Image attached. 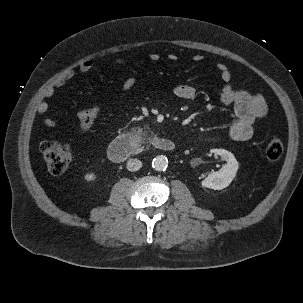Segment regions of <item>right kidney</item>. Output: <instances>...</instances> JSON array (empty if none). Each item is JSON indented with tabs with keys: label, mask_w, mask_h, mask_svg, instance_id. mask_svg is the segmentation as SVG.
Wrapping results in <instances>:
<instances>
[{
	"label": "right kidney",
	"mask_w": 303,
	"mask_h": 303,
	"mask_svg": "<svg viewBox=\"0 0 303 303\" xmlns=\"http://www.w3.org/2000/svg\"><path fill=\"white\" fill-rule=\"evenodd\" d=\"M84 179L88 182L90 181H93L96 179V175L94 173H87L85 176H84Z\"/></svg>",
	"instance_id": "1"
}]
</instances>
